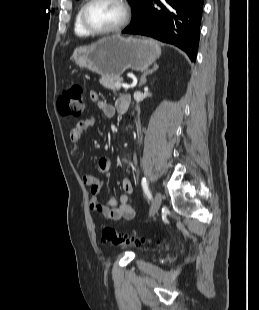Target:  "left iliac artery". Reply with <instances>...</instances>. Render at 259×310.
I'll use <instances>...</instances> for the list:
<instances>
[{
    "label": "left iliac artery",
    "mask_w": 259,
    "mask_h": 310,
    "mask_svg": "<svg viewBox=\"0 0 259 310\" xmlns=\"http://www.w3.org/2000/svg\"><path fill=\"white\" fill-rule=\"evenodd\" d=\"M141 184H142V187H143V190H144V193L146 194V196H147L149 199H152V195H151L150 190H149V188H148V183H147V181H146V178H143V179H142Z\"/></svg>",
    "instance_id": "1"
}]
</instances>
